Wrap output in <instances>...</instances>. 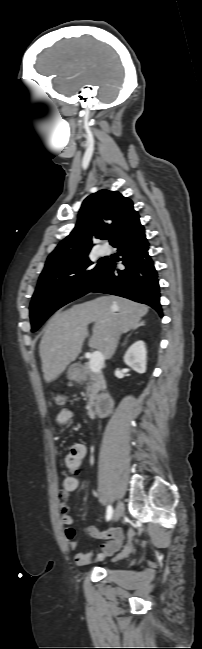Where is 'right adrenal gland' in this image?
I'll use <instances>...</instances> for the list:
<instances>
[{"label": "right adrenal gland", "mask_w": 202, "mask_h": 649, "mask_svg": "<svg viewBox=\"0 0 202 649\" xmlns=\"http://www.w3.org/2000/svg\"><path fill=\"white\" fill-rule=\"evenodd\" d=\"M144 325H145L144 322H140V323H138V324L133 328V330L139 328L140 326H144ZM130 335H131V334H129V335L127 336V338H128ZM123 345H125V343H124Z\"/></svg>", "instance_id": "2a0ac1e0"}]
</instances>
